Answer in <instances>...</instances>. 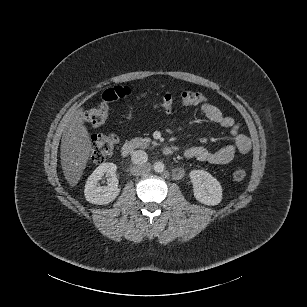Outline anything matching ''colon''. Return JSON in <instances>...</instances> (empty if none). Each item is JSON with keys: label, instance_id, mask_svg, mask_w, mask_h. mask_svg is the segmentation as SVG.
Returning a JSON list of instances; mask_svg holds the SVG:
<instances>
[{"label": "colon", "instance_id": "5ec220e1", "mask_svg": "<svg viewBox=\"0 0 307 307\" xmlns=\"http://www.w3.org/2000/svg\"><path fill=\"white\" fill-rule=\"evenodd\" d=\"M131 90L127 86H115L107 89L102 95V101L98 107L86 112L85 121L92 127H98L104 123L110 114V106L115 101L128 96ZM146 95H142L145 98ZM207 98L200 92L187 90L184 91L179 98L170 94L164 95L162 98L153 103L154 108L165 112H171L178 107H188L201 103H206ZM118 139L114 134H98L92 140V151L90 162L92 164H100L114 151ZM233 179L236 181L243 180L246 176V170L242 165H238L233 169Z\"/></svg>", "mask_w": 307, "mask_h": 307}]
</instances>
